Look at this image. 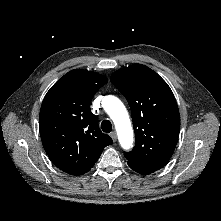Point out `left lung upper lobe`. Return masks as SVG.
Returning <instances> with one entry per match:
<instances>
[{
    "mask_svg": "<svg viewBox=\"0 0 221 221\" xmlns=\"http://www.w3.org/2000/svg\"><path fill=\"white\" fill-rule=\"evenodd\" d=\"M110 80L125 96L132 113L135 147L124 156L144 169L157 171L172 156L180 130L179 110L170 87L141 64L117 70Z\"/></svg>",
    "mask_w": 221,
    "mask_h": 221,
    "instance_id": "obj_1",
    "label": "left lung upper lobe"
}]
</instances>
